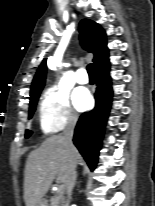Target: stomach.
<instances>
[{
  "instance_id": "0dacf381",
  "label": "stomach",
  "mask_w": 155,
  "mask_h": 206,
  "mask_svg": "<svg viewBox=\"0 0 155 206\" xmlns=\"http://www.w3.org/2000/svg\"><path fill=\"white\" fill-rule=\"evenodd\" d=\"M37 206H48V205H47L46 200L41 199V200L39 201V203L37 204Z\"/></svg>"
}]
</instances>
